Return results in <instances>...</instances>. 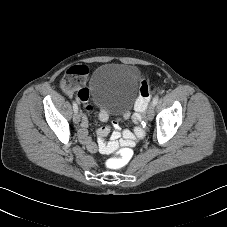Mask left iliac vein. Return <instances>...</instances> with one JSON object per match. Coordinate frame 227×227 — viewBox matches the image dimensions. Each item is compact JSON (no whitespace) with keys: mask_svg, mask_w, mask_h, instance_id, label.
<instances>
[{"mask_svg":"<svg viewBox=\"0 0 227 227\" xmlns=\"http://www.w3.org/2000/svg\"><path fill=\"white\" fill-rule=\"evenodd\" d=\"M155 104L152 102L147 110V119L151 121L154 117Z\"/></svg>","mask_w":227,"mask_h":227,"instance_id":"left-iliac-vein-1","label":"left iliac vein"}]
</instances>
